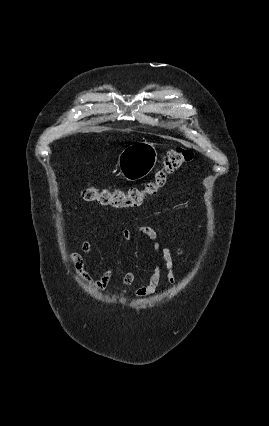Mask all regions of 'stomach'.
Instances as JSON below:
<instances>
[{"mask_svg": "<svg viewBox=\"0 0 269 426\" xmlns=\"http://www.w3.org/2000/svg\"><path fill=\"white\" fill-rule=\"evenodd\" d=\"M158 153L153 143L141 141L126 147L118 157L117 166L127 181L146 177L155 167Z\"/></svg>", "mask_w": 269, "mask_h": 426, "instance_id": "1", "label": "stomach"}]
</instances>
